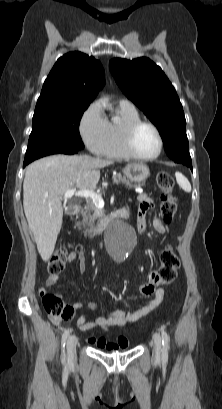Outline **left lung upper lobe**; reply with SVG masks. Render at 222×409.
Here are the masks:
<instances>
[{
	"mask_svg": "<svg viewBox=\"0 0 222 409\" xmlns=\"http://www.w3.org/2000/svg\"><path fill=\"white\" fill-rule=\"evenodd\" d=\"M109 68L123 93L156 125L167 155L190 157L186 120L175 88L149 58H114Z\"/></svg>",
	"mask_w": 222,
	"mask_h": 409,
	"instance_id": "left-lung-upper-lobe-1",
	"label": "left lung upper lobe"
}]
</instances>
